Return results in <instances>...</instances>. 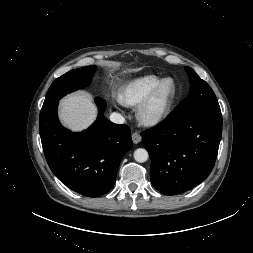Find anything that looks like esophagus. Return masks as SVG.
<instances>
[{"label":"esophagus","mask_w":253,"mask_h":253,"mask_svg":"<svg viewBox=\"0 0 253 253\" xmlns=\"http://www.w3.org/2000/svg\"><path fill=\"white\" fill-rule=\"evenodd\" d=\"M142 137L138 132H134L132 133V141L134 144H138L139 142H141Z\"/></svg>","instance_id":"1"}]
</instances>
